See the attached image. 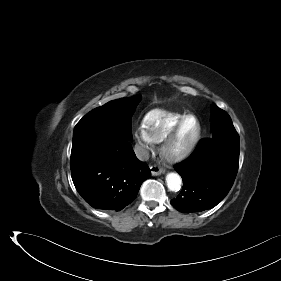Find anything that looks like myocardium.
I'll return each instance as SVG.
<instances>
[{"mask_svg":"<svg viewBox=\"0 0 281 281\" xmlns=\"http://www.w3.org/2000/svg\"><path fill=\"white\" fill-rule=\"evenodd\" d=\"M194 118L197 122V131L194 137L186 144L174 148V144L176 139L180 133L181 128L187 119ZM202 135V125L201 121L195 114H186L183 118H181L178 123L172 128V130L166 135V137L162 141L161 145V153L162 155L170 162L177 163L186 159L188 156L192 154V152L197 147Z\"/></svg>","mask_w":281,"mask_h":281,"instance_id":"f54148a6","label":"myocardium"}]
</instances>
